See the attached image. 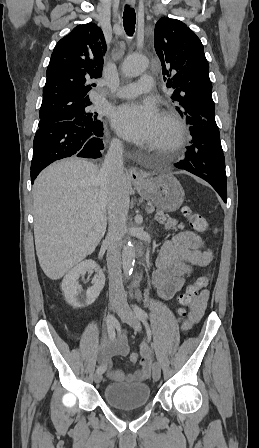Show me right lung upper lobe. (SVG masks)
Here are the masks:
<instances>
[{
  "label": "right lung upper lobe",
  "instance_id": "obj_1",
  "mask_svg": "<svg viewBox=\"0 0 259 448\" xmlns=\"http://www.w3.org/2000/svg\"><path fill=\"white\" fill-rule=\"evenodd\" d=\"M106 44L95 23L78 25L55 46L39 114L91 104L90 82L102 76Z\"/></svg>",
  "mask_w": 259,
  "mask_h": 448
}]
</instances>
